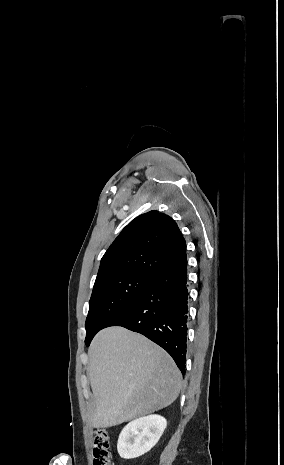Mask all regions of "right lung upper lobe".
Here are the masks:
<instances>
[{"mask_svg": "<svg viewBox=\"0 0 284 465\" xmlns=\"http://www.w3.org/2000/svg\"><path fill=\"white\" fill-rule=\"evenodd\" d=\"M186 259V242L168 215L150 211L136 217L101 259L95 280L125 274L155 278Z\"/></svg>", "mask_w": 284, "mask_h": 465, "instance_id": "right-lung-upper-lobe-1", "label": "right lung upper lobe"}]
</instances>
